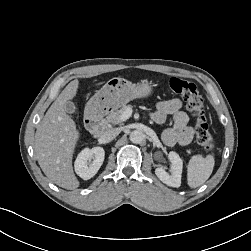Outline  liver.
Listing matches in <instances>:
<instances>
[{"mask_svg": "<svg viewBox=\"0 0 251 251\" xmlns=\"http://www.w3.org/2000/svg\"><path fill=\"white\" fill-rule=\"evenodd\" d=\"M78 87L76 79L64 88L38 124L34 142L36 158L44 174L50 181L68 190L79 187L72 158L80 132L64 106L76 96Z\"/></svg>", "mask_w": 251, "mask_h": 251, "instance_id": "1", "label": "liver"}]
</instances>
